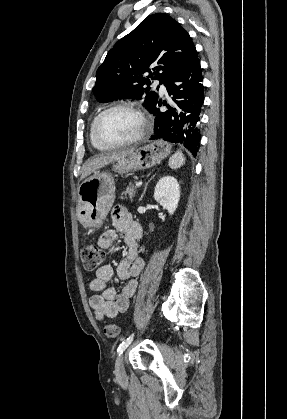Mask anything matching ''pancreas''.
I'll use <instances>...</instances> for the list:
<instances>
[{"label":"pancreas","mask_w":287,"mask_h":419,"mask_svg":"<svg viewBox=\"0 0 287 419\" xmlns=\"http://www.w3.org/2000/svg\"><path fill=\"white\" fill-rule=\"evenodd\" d=\"M122 195L132 199L136 195V187L133 184H129L126 190L122 192Z\"/></svg>","instance_id":"cf45deb5"}]
</instances>
